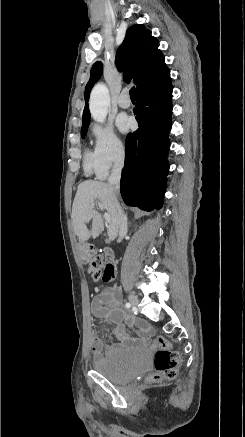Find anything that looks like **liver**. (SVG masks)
I'll return each instance as SVG.
<instances>
[{"mask_svg": "<svg viewBox=\"0 0 245 437\" xmlns=\"http://www.w3.org/2000/svg\"><path fill=\"white\" fill-rule=\"evenodd\" d=\"M99 200L110 216L108 235L111 240L117 237L119 231V216L115 208L114 192L109 183L99 181H85L78 186L73 207L72 223L77 237L86 241L97 238L104 230V221L101 214L94 209V201ZM92 220V229L87 223Z\"/></svg>", "mask_w": 245, "mask_h": 437, "instance_id": "6515ba94", "label": "liver"}]
</instances>
